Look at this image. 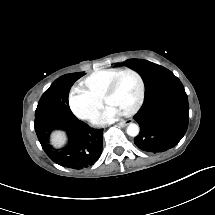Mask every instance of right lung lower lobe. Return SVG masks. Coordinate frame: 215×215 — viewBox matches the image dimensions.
<instances>
[{
    "label": "right lung lower lobe",
    "instance_id": "1",
    "mask_svg": "<svg viewBox=\"0 0 215 215\" xmlns=\"http://www.w3.org/2000/svg\"><path fill=\"white\" fill-rule=\"evenodd\" d=\"M54 130L66 132L69 137L67 146L55 149L50 145L49 137ZM35 131L45 153L52 161L63 167L86 168L93 165L101 155L103 129L93 130L77 118L36 122Z\"/></svg>",
    "mask_w": 215,
    "mask_h": 215
}]
</instances>
